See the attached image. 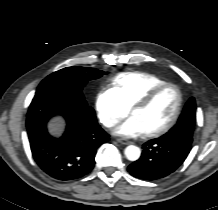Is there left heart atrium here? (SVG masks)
<instances>
[{"instance_id":"obj_1","label":"left heart atrium","mask_w":218,"mask_h":210,"mask_svg":"<svg viewBox=\"0 0 218 210\" xmlns=\"http://www.w3.org/2000/svg\"><path fill=\"white\" fill-rule=\"evenodd\" d=\"M116 133L124 137H137L145 134V130L140 120L131 116L116 129Z\"/></svg>"}]
</instances>
